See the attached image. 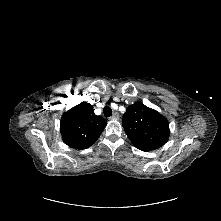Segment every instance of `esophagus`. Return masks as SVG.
I'll use <instances>...</instances> for the list:
<instances>
[{"label": "esophagus", "instance_id": "esophagus-1", "mask_svg": "<svg viewBox=\"0 0 221 221\" xmlns=\"http://www.w3.org/2000/svg\"><path fill=\"white\" fill-rule=\"evenodd\" d=\"M119 118V114L117 112H115L110 119H118Z\"/></svg>", "mask_w": 221, "mask_h": 221}]
</instances>
